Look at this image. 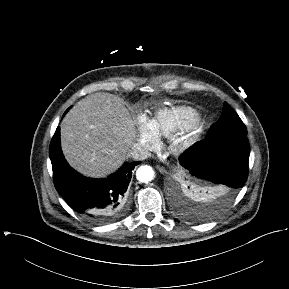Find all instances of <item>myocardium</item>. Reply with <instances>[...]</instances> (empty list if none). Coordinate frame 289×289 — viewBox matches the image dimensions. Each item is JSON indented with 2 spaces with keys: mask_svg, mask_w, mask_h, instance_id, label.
Returning <instances> with one entry per match:
<instances>
[{
  "mask_svg": "<svg viewBox=\"0 0 289 289\" xmlns=\"http://www.w3.org/2000/svg\"><path fill=\"white\" fill-rule=\"evenodd\" d=\"M201 132V124L197 120L172 140V151L176 154L185 152L194 144Z\"/></svg>",
  "mask_w": 289,
  "mask_h": 289,
  "instance_id": "1",
  "label": "myocardium"
}]
</instances>
